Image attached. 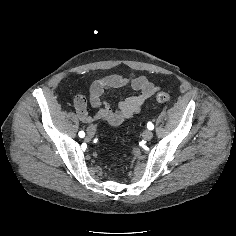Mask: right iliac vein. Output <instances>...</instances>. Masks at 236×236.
Returning <instances> with one entry per match:
<instances>
[{"label":"right iliac vein","mask_w":236,"mask_h":236,"mask_svg":"<svg viewBox=\"0 0 236 236\" xmlns=\"http://www.w3.org/2000/svg\"><path fill=\"white\" fill-rule=\"evenodd\" d=\"M95 132H96V129L94 126L91 125L87 128V136L88 137H90V138L93 137Z\"/></svg>","instance_id":"63e3f726"}]
</instances>
